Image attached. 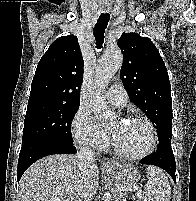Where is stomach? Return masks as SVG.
<instances>
[{
  "mask_svg": "<svg viewBox=\"0 0 196 201\" xmlns=\"http://www.w3.org/2000/svg\"><path fill=\"white\" fill-rule=\"evenodd\" d=\"M109 172L112 173L120 186L132 188L140 179V174L137 169L129 165H122Z\"/></svg>",
  "mask_w": 196,
  "mask_h": 201,
  "instance_id": "0dacf381",
  "label": "stomach"
}]
</instances>
